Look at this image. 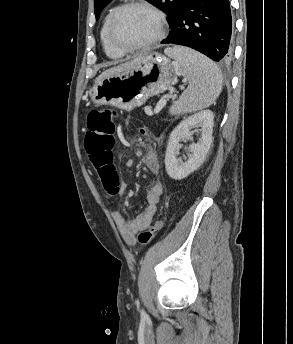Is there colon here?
Segmentation results:
<instances>
[{"label":"colon","mask_w":293,"mask_h":344,"mask_svg":"<svg viewBox=\"0 0 293 344\" xmlns=\"http://www.w3.org/2000/svg\"><path fill=\"white\" fill-rule=\"evenodd\" d=\"M116 121L117 113L112 109H93L87 115L88 131L84 147L98 170L112 165ZM141 132L144 133V130L141 129ZM101 181L108 193L119 192L118 181L109 182L105 177H101ZM161 228L162 221L156 220L148 229L138 235L139 244L147 245Z\"/></svg>","instance_id":"1"}]
</instances>
